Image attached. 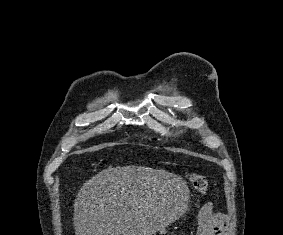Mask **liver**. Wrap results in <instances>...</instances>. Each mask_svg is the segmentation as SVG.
<instances>
[{
  "label": "liver",
  "mask_w": 283,
  "mask_h": 235,
  "mask_svg": "<svg viewBox=\"0 0 283 235\" xmlns=\"http://www.w3.org/2000/svg\"><path fill=\"white\" fill-rule=\"evenodd\" d=\"M188 188L164 170L129 165L98 172L74 204L76 235H152L173 222Z\"/></svg>",
  "instance_id": "6515ba94"
}]
</instances>
